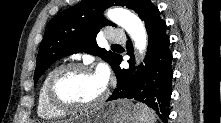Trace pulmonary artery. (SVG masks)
Returning a JSON list of instances; mask_svg holds the SVG:
<instances>
[{
    "label": "pulmonary artery",
    "instance_id": "e3ab8cb5",
    "mask_svg": "<svg viewBox=\"0 0 221 123\" xmlns=\"http://www.w3.org/2000/svg\"><path fill=\"white\" fill-rule=\"evenodd\" d=\"M107 38L109 41L114 43H121L124 42L126 39L124 32L120 29H113L109 31Z\"/></svg>",
    "mask_w": 221,
    "mask_h": 123
}]
</instances>
